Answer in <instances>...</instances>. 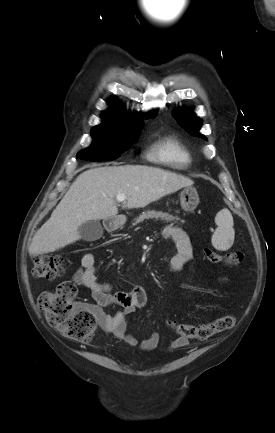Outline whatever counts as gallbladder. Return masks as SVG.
Masks as SVG:
<instances>
[{
  "instance_id": "bac80fb5",
  "label": "gallbladder",
  "mask_w": 275,
  "mask_h": 433,
  "mask_svg": "<svg viewBox=\"0 0 275 433\" xmlns=\"http://www.w3.org/2000/svg\"><path fill=\"white\" fill-rule=\"evenodd\" d=\"M78 232L84 241H96L103 235V228L99 221H88L78 228Z\"/></svg>"
}]
</instances>
